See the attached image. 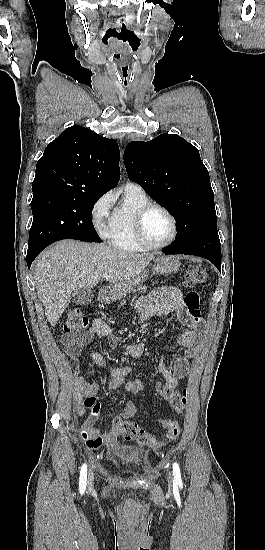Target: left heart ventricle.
<instances>
[{
    "instance_id": "left-heart-ventricle-1",
    "label": "left heart ventricle",
    "mask_w": 265,
    "mask_h": 550,
    "mask_svg": "<svg viewBox=\"0 0 265 550\" xmlns=\"http://www.w3.org/2000/svg\"><path fill=\"white\" fill-rule=\"evenodd\" d=\"M144 231L149 242L162 244L171 235V221L163 211L158 209L152 210L145 218Z\"/></svg>"
}]
</instances>
